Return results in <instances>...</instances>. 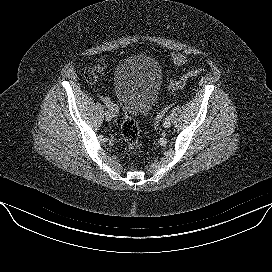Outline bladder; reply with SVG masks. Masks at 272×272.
Listing matches in <instances>:
<instances>
[{
  "label": "bladder",
  "instance_id": "1",
  "mask_svg": "<svg viewBox=\"0 0 272 272\" xmlns=\"http://www.w3.org/2000/svg\"><path fill=\"white\" fill-rule=\"evenodd\" d=\"M162 69L148 55H135L122 61L114 73V92L131 116L148 113L155 105L161 86Z\"/></svg>",
  "mask_w": 272,
  "mask_h": 272
}]
</instances>
